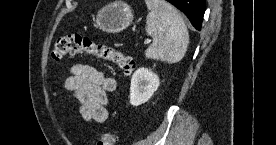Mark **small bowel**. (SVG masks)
I'll return each mask as SVG.
<instances>
[{
	"mask_svg": "<svg viewBox=\"0 0 276 145\" xmlns=\"http://www.w3.org/2000/svg\"><path fill=\"white\" fill-rule=\"evenodd\" d=\"M65 88L77 99L84 120L103 123L108 116L107 94L116 89V80L90 64H75L70 68V76Z\"/></svg>",
	"mask_w": 276,
	"mask_h": 145,
	"instance_id": "obj_1",
	"label": "small bowel"
}]
</instances>
